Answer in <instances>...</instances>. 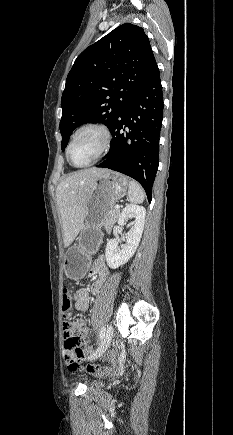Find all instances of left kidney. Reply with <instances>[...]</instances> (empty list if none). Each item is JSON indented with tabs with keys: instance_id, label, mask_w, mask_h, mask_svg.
<instances>
[{
	"instance_id": "left-kidney-1",
	"label": "left kidney",
	"mask_w": 233,
	"mask_h": 435,
	"mask_svg": "<svg viewBox=\"0 0 233 435\" xmlns=\"http://www.w3.org/2000/svg\"><path fill=\"white\" fill-rule=\"evenodd\" d=\"M145 215V208L135 204H129L122 210L118 218L120 226L124 225L128 218H134L135 220L127 233V243L122 249L119 248L115 239L107 242L105 255L110 268L116 269L122 266L134 255L142 237Z\"/></svg>"
}]
</instances>
